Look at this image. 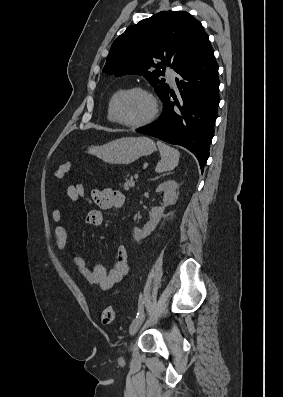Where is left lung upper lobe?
<instances>
[{
    "label": "left lung upper lobe",
    "instance_id": "obj_1",
    "mask_svg": "<svg viewBox=\"0 0 283 397\" xmlns=\"http://www.w3.org/2000/svg\"><path fill=\"white\" fill-rule=\"evenodd\" d=\"M210 46L202 24L185 11L159 12L130 26L112 44L102 72L143 75L161 98L169 89L159 76L166 66L177 73ZM154 68L161 69L152 71Z\"/></svg>",
    "mask_w": 283,
    "mask_h": 397
}]
</instances>
